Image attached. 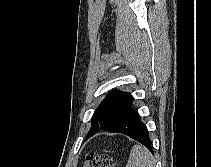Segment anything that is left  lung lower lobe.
Listing matches in <instances>:
<instances>
[{"instance_id":"left-lung-lower-lobe-1","label":"left lung lower lobe","mask_w":211,"mask_h":167,"mask_svg":"<svg viewBox=\"0 0 211 167\" xmlns=\"http://www.w3.org/2000/svg\"><path fill=\"white\" fill-rule=\"evenodd\" d=\"M101 130L125 134L143 144L151 153H154L148 129L146 125L142 123L139 113L132 108L131 103L110 123L91 130L87 138Z\"/></svg>"}]
</instances>
